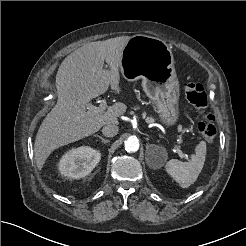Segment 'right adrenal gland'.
Masks as SVG:
<instances>
[{
    "label": "right adrenal gland",
    "mask_w": 246,
    "mask_h": 246,
    "mask_svg": "<svg viewBox=\"0 0 246 246\" xmlns=\"http://www.w3.org/2000/svg\"><path fill=\"white\" fill-rule=\"evenodd\" d=\"M94 136L98 137L103 143H108L109 142V140L105 139L104 137H102V136H100L98 134H95Z\"/></svg>",
    "instance_id": "1"
}]
</instances>
